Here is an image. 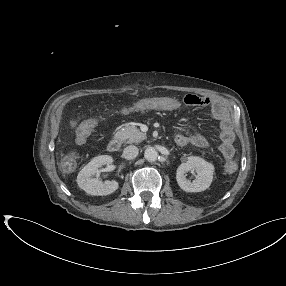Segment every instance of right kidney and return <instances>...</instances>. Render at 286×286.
Instances as JSON below:
<instances>
[{
    "instance_id": "1",
    "label": "right kidney",
    "mask_w": 286,
    "mask_h": 286,
    "mask_svg": "<svg viewBox=\"0 0 286 286\" xmlns=\"http://www.w3.org/2000/svg\"><path fill=\"white\" fill-rule=\"evenodd\" d=\"M113 162V158L109 155H100L94 157L77 176L78 186L86 193L95 196L108 195L115 192L119 184L117 181H105L102 182L98 178L93 176L99 172V168L103 165H110Z\"/></svg>"
}]
</instances>
